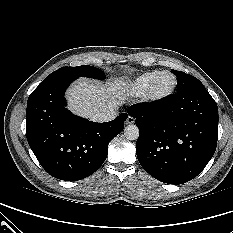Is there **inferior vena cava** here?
<instances>
[{
    "label": "inferior vena cava",
    "mask_w": 233,
    "mask_h": 233,
    "mask_svg": "<svg viewBox=\"0 0 233 233\" xmlns=\"http://www.w3.org/2000/svg\"><path fill=\"white\" fill-rule=\"evenodd\" d=\"M117 116V112L114 110L97 113L92 117V120L95 122H107L113 120Z\"/></svg>",
    "instance_id": "602c4592"
}]
</instances>
